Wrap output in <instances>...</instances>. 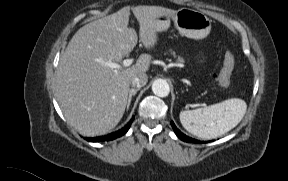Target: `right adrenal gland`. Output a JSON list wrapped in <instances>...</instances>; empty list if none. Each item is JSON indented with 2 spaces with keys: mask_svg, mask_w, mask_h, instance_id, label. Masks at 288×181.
<instances>
[{
  "mask_svg": "<svg viewBox=\"0 0 288 181\" xmlns=\"http://www.w3.org/2000/svg\"><path fill=\"white\" fill-rule=\"evenodd\" d=\"M139 90H140V88L130 89L128 103H127V110L129 109V106L131 104L132 96L136 95L137 91H139Z\"/></svg>",
  "mask_w": 288,
  "mask_h": 181,
  "instance_id": "right-adrenal-gland-1",
  "label": "right adrenal gland"
}]
</instances>
